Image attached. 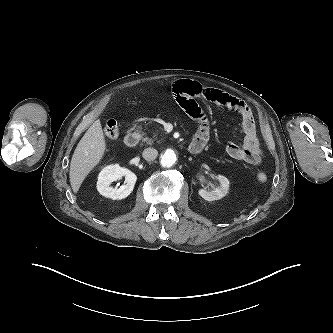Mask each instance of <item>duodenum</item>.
I'll return each instance as SVG.
<instances>
[{"instance_id": "410a0bca", "label": "duodenum", "mask_w": 333, "mask_h": 333, "mask_svg": "<svg viewBox=\"0 0 333 333\" xmlns=\"http://www.w3.org/2000/svg\"><path fill=\"white\" fill-rule=\"evenodd\" d=\"M139 139L140 137L138 133L130 132L126 134L124 142L128 147L133 148L137 146V144L139 143ZM204 146L205 142L199 140H193L189 145V151L193 154H198L203 150Z\"/></svg>"}]
</instances>
